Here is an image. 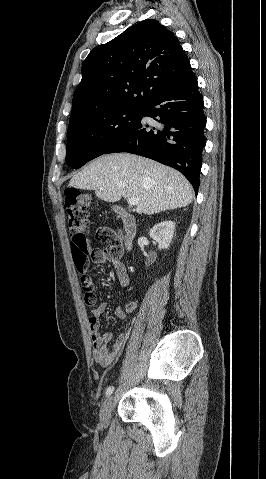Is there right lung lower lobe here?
<instances>
[{
  "instance_id": "98d812e1",
  "label": "right lung lower lobe",
  "mask_w": 266,
  "mask_h": 479,
  "mask_svg": "<svg viewBox=\"0 0 266 479\" xmlns=\"http://www.w3.org/2000/svg\"><path fill=\"white\" fill-rule=\"evenodd\" d=\"M192 73L154 94L143 106L139 122L104 154L129 152L179 170L192 184H200L201 154L205 146L203 99ZM148 116L159 124L142 121Z\"/></svg>"
}]
</instances>
